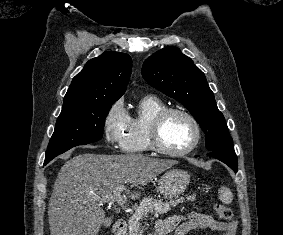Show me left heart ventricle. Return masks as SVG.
<instances>
[{"label":"left heart ventricle","mask_w":283,"mask_h":235,"mask_svg":"<svg viewBox=\"0 0 283 235\" xmlns=\"http://www.w3.org/2000/svg\"><path fill=\"white\" fill-rule=\"evenodd\" d=\"M194 138L191 122L182 114L173 113L163 122L160 130L162 145L172 151L188 147Z\"/></svg>","instance_id":"obj_1"}]
</instances>
